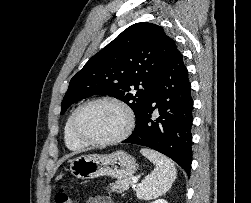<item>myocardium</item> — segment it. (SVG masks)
I'll return each mask as SVG.
<instances>
[{
  "label": "myocardium",
  "instance_id": "f54148a6",
  "mask_svg": "<svg viewBox=\"0 0 251 203\" xmlns=\"http://www.w3.org/2000/svg\"><path fill=\"white\" fill-rule=\"evenodd\" d=\"M102 102L111 103L121 108L126 116V125L124 129L118 135L112 138L105 139V140L90 139L84 136L78 129L79 116L85 108L93 104L102 103ZM134 125H135V117L129 105H127L122 100L115 97H111V96L97 97V98H93L91 100L84 102L74 111L72 120H71V130L75 138L78 139L80 142L84 143L85 145H92V146H109V145L117 144L125 140L127 137H129V135L132 133L134 129Z\"/></svg>",
  "mask_w": 251,
  "mask_h": 203
}]
</instances>
